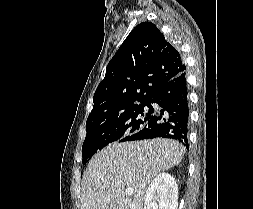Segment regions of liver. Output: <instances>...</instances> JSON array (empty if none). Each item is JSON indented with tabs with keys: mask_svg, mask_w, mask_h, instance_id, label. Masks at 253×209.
Returning a JSON list of instances; mask_svg holds the SVG:
<instances>
[{
	"mask_svg": "<svg viewBox=\"0 0 253 209\" xmlns=\"http://www.w3.org/2000/svg\"><path fill=\"white\" fill-rule=\"evenodd\" d=\"M184 153L181 143L162 138L107 146L86 168L81 209H142L152 179L178 165ZM125 188L133 194L127 196Z\"/></svg>",
	"mask_w": 253,
	"mask_h": 209,
	"instance_id": "1",
	"label": "liver"
}]
</instances>
